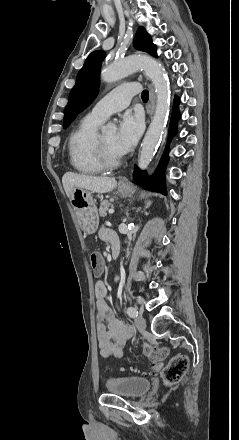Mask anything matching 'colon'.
Here are the masks:
<instances>
[{"label": "colon", "instance_id": "5ec220e1", "mask_svg": "<svg viewBox=\"0 0 239 440\" xmlns=\"http://www.w3.org/2000/svg\"><path fill=\"white\" fill-rule=\"evenodd\" d=\"M90 263L95 275H100L103 271L102 259L99 253L93 252L90 255ZM145 351L153 361V371L160 370V361L165 357L166 351L158 347L146 345ZM188 368V359L184 355H176L171 358L169 363L162 369L161 376L165 383L174 384L178 382Z\"/></svg>", "mask_w": 239, "mask_h": 440}]
</instances>
